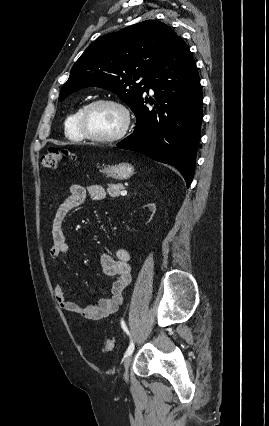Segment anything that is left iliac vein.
<instances>
[{"instance_id": "4c4485c4", "label": "left iliac vein", "mask_w": 269, "mask_h": 426, "mask_svg": "<svg viewBox=\"0 0 269 426\" xmlns=\"http://www.w3.org/2000/svg\"><path fill=\"white\" fill-rule=\"evenodd\" d=\"M132 360V355H128L125 359H124V379L125 381H128L129 379V375H128V369L130 366Z\"/></svg>"}]
</instances>
